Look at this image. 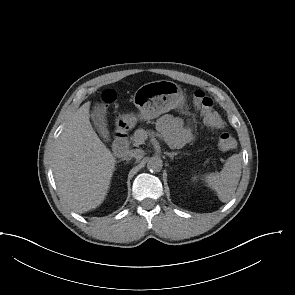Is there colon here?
Returning <instances> with one entry per match:
<instances>
[{"label":"colon","instance_id":"5ec220e1","mask_svg":"<svg viewBox=\"0 0 295 295\" xmlns=\"http://www.w3.org/2000/svg\"><path fill=\"white\" fill-rule=\"evenodd\" d=\"M101 100L104 105L112 103L115 100L114 91L105 90L102 93ZM193 102L208 127L216 130L223 128V119L215 110L213 101L209 96L202 91H196L193 95ZM218 144L222 150L228 151L236 147V140L229 132L223 131L219 133Z\"/></svg>","mask_w":295,"mask_h":295}]
</instances>
